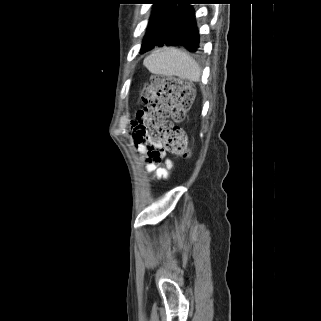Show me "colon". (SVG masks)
I'll list each match as a JSON object with an SVG mask.
<instances>
[{
  "instance_id": "obj_1",
  "label": "colon",
  "mask_w": 321,
  "mask_h": 321,
  "mask_svg": "<svg viewBox=\"0 0 321 321\" xmlns=\"http://www.w3.org/2000/svg\"><path fill=\"white\" fill-rule=\"evenodd\" d=\"M193 97L194 88L190 82L170 76H153L144 87L141 100L154 107L148 125L156 145L152 152L156 159L165 153L181 157L190 154L187 136L178 124L183 121Z\"/></svg>"
}]
</instances>
